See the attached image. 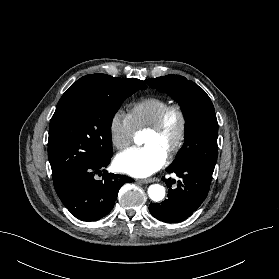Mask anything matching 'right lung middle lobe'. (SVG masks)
Listing matches in <instances>:
<instances>
[{
  "label": "right lung middle lobe",
  "mask_w": 279,
  "mask_h": 279,
  "mask_svg": "<svg viewBox=\"0 0 279 279\" xmlns=\"http://www.w3.org/2000/svg\"><path fill=\"white\" fill-rule=\"evenodd\" d=\"M142 80L91 74L62 95L51 118L48 158L53 181L81 167L111 158V122L120 104Z\"/></svg>",
  "instance_id": "right-lung-middle-lobe-1"
}]
</instances>
